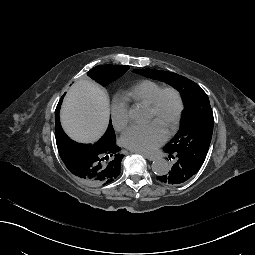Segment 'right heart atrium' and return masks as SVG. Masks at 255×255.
I'll return each mask as SVG.
<instances>
[{
  "label": "right heart atrium",
  "mask_w": 255,
  "mask_h": 255,
  "mask_svg": "<svg viewBox=\"0 0 255 255\" xmlns=\"http://www.w3.org/2000/svg\"><path fill=\"white\" fill-rule=\"evenodd\" d=\"M109 116L113 128L118 132L124 130L130 122V116L126 106L119 101H114L111 104Z\"/></svg>",
  "instance_id": "obj_1"
}]
</instances>
